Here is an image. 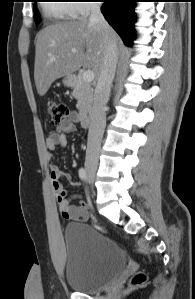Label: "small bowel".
I'll list each match as a JSON object with an SVG mask.
<instances>
[{"mask_svg":"<svg viewBox=\"0 0 195 299\" xmlns=\"http://www.w3.org/2000/svg\"><path fill=\"white\" fill-rule=\"evenodd\" d=\"M78 122V114L72 111L69 117L63 120L57 130L53 131L47 138V148L51 151L64 148L67 144V134L73 132ZM60 179H65L71 182V175L61 171L58 166H51V180L53 188L57 194V200L59 203V211L63 218L74 221H85L87 216L82 213L83 209H86L85 205L76 206L71 204V200L79 197L74 195L71 198L67 197V192L60 183Z\"/></svg>","mask_w":195,"mask_h":299,"instance_id":"c3829d8e","label":"small bowel"}]
</instances>
